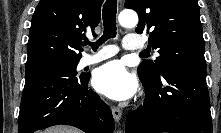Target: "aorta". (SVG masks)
<instances>
[{
    "label": "aorta",
    "instance_id": "obj_1",
    "mask_svg": "<svg viewBox=\"0 0 221 133\" xmlns=\"http://www.w3.org/2000/svg\"><path fill=\"white\" fill-rule=\"evenodd\" d=\"M119 23L123 27H135L138 24V15L134 11L124 10L119 14Z\"/></svg>",
    "mask_w": 221,
    "mask_h": 133
}]
</instances>
